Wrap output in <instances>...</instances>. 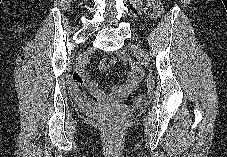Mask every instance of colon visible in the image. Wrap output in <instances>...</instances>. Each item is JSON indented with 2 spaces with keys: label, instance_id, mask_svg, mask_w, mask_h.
<instances>
[{
  "label": "colon",
  "instance_id": "5ec220e1",
  "mask_svg": "<svg viewBox=\"0 0 227 157\" xmlns=\"http://www.w3.org/2000/svg\"><path fill=\"white\" fill-rule=\"evenodd\" d=\"M146 13L150 18H158L163 13V4L161 0H147ZM149 98L147 95H138L134 98V104L138 107L147 105Z\"/></svg>",
  "mask_w": 227,
  "mask_h": 157
}]
</instances>
